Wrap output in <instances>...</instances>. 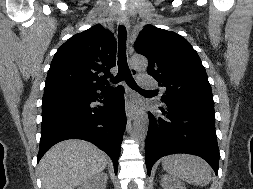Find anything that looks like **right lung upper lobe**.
Returning <instances> with one entry per match:
<instances>
[{"mask_svg":"<svg viewBox=\"0 0 253 189\" xmlns=\"http://www.w3.org/2000/svg\"><path fill=\"white\" fill-rule=\"evenodd\" d=\"M116 64L114 35L97 24L59 47L47 74L44 94L108 86ZM100 74H104L100 76Z\"/></svg>","mask_w":253,"mask_h":189,"instance_id":"right-lung-upper-lobe-1","label":"right lung upper lobe"}]
</instances>
